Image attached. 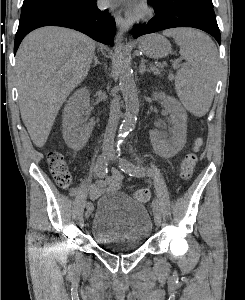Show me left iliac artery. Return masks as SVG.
Returning a JSON list of instances; mask_svg holds the SVG:
<instances>
[{
    "mask_svg": "<svg viewBox=\"0 0 245 300\" xmlns=\"http://www.w3.org/2000/svg\"><path fill=\"white\" fill-rule=\"evenodd\" d=\"M118 156H120V150L118 149ZM120 168L123 172L128 173L130 176L142 177L145 175H150V170L144 167H139L134 165L132 162L125 158H120ZM160 202L159 198H156L152 202V210L154 214L160 215V209L158 203Z\"/></svg>",
    "mask_w": 245,
    "mask_h": 300,
    "instance_id": "left-iliac-artery-1",
    "label": "left iliac artery"
}]
</instances>
